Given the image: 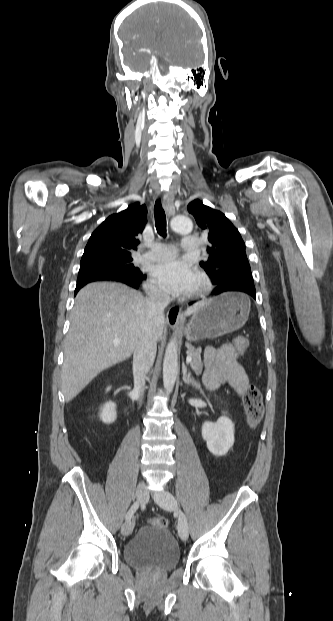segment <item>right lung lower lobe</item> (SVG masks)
Wrapping results in <instances>:
<instances>
[{
	"mask_svg": "<svg viewBox=\"0 0 333 621\" xmlns=\"http://www.w3.org/2000/svg\"><path fill=\"white\" fill-rule=\"evenodd\" d=\"M145 279H146L145 275H142L137 278L117 276V275H111V274H102V273H90V274L78 275L75 295L84 285L90 282H94V281H117V282L125 283L135 289H138L141 282Z\"/></svg>",
	"mask_w": 333,
	"mask_h": 621,
	"instance_id": "obj_1",
	"label": "right lung lower lobe"
}]
</instances>
